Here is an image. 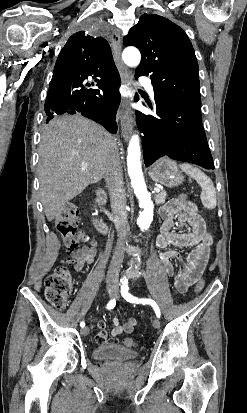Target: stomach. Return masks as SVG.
Returning a JSON list of instances; mask_svg holds the SVG:
<instances>
[{
	"label": "stomach",
	"instance_id": "0dacf381",
	"mask_svg": "<svg viewBox=\"0 0 247 413\" xmlns=\"http://www.w3.org/2000/svg\"><path fill=\"white\" fill-rule=\"evenodd\" d=\"M149 176H151L155 182H160V184H165V186H178V184H182L184 180L182 170H179L176 162L169 160V158H161V160H158V162L150 168Z\"/></svg>",
	"mask_w": 247,
	"mask_h": 413
}]
</instances>
